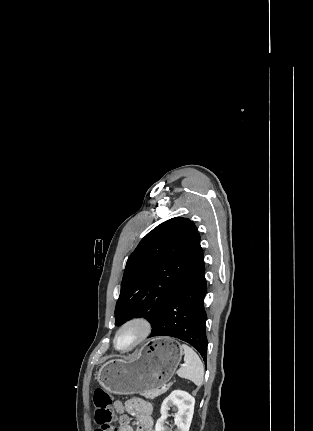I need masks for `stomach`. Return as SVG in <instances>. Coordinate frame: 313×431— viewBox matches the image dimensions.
Listing matches in <instances>:
<instances>
[{
	"label": "stomach",
	"instance_id": "obj_1",
	"mask_svg": "<svg viewBox=\"0 0 313 431\" xmlns=\"http://www.w3.org/2000/svg\"><path fill=\"white\" fill-rule=\"evenodd\" d=\"M179 343L171 338H154L126 359L106 362L97 381L108 392L129 395L160 389L173 377L182 358Z\"/></svg>",
	"mask_w": 313,
	"mask_h": 431
}]
</instances>
